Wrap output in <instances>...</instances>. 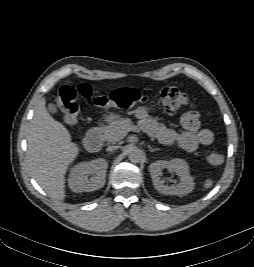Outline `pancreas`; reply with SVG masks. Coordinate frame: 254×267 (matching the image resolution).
<instances>
[{
  "instance_id": "pancreas-1",
  "label": "pancreas",
  "mask_w": 254,
  "mask_h": 267,
  "mask_svg": "<svg viewBox=\"0 0 254 267\" xmlns=\"http://www.w3.org/2000/svg\"><path fill=\"white\" fill-rule=\"evenodd\" d=\"M129 126H131L130 119L115 120L102 128L101 139L115 143L124 137L122 132Z\"/></svg>"
}]
</instances>
